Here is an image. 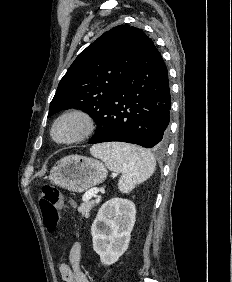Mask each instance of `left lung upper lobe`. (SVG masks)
Here are the masks:
<instances>
[{
    "label": "left lung upper lobe",
    "instance_id": "1",
    "mask_svg": "<svg viewBox=\"0 0 232 282\" xmlns=\"http://www.w3.org/2000/svg\"><path fill=\"white\" fill-rule=\"evenodd\" d=\"M149 39L142 30L128 25L105 32L69 67L50 103L48 117L62 109L76 108L98 124L137 65Z\"/></svg>",
    "mask_w": 232,
    "mask_h": 282
}]
</instances>
